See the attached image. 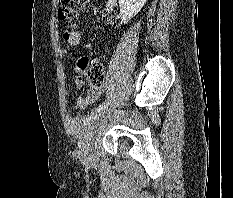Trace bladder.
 Instances as JSON below:
<instances>
[{"label": "bladder", "mask_w": 233, "mask_h": 198, "mask_svg": "<svg viewBox=\"0 0 233 198\" xmlns=\"http://www.w3.org/2000/svg\"><path fill=\"white\" fill-rule=\"evenodd\" d=\"M102 115L92 113L72 120V134L82 149L88 150L97 143L99 136L107 126Z\"/></svg>", "instance_id": "31cf9c89"}]
</instances>
